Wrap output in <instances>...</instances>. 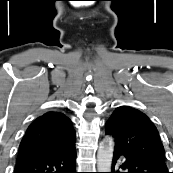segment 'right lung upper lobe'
Here are the masks:
<instances>
[{
	"instance_id": "1",
	"label": "right lung upper lobe",
	"mask_w": 173,
	"mask_h": 173,
	"mask_svg": "<svg viewBox=\"0 0 173 173\" xmlns=\"http://www.w3.org/2000/svg\"><path fill=\"white\" fill-rule=\"evenodd\" d=\"M70 119L60 112H47L30 124L20 143L18 160L60 152L75 146Z\"/></svg>"
}]
</instances>
